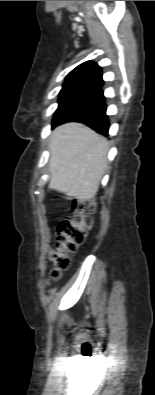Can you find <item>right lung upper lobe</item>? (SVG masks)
<instances>
[{"label": "right lung upper lobe", "instance_id": "obj_1", "mask_svg": "<svg viewBox=\"0 0 155 395\" xmlns=\"http://www.w3.org/2000/svg\"><path fill=\"white\" fill-rule=\"evenodd\" d=\"M69 84H81L101 88L103 85L101 67L93 61L82 63L67 75L63 85Z\"/></svg>", "mask_w": 155, "mask_h": 395}]
</instances>
